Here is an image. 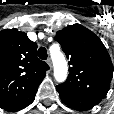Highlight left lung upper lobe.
<instances>
[{
	"instance_id": "5c2ea615",
	"label": "left lung upper lobe",
	"mask_w": 114,
	"mask_h": 114,
	"mask_svg": "<svg viewBox=\"0 0 114 114\" xmlns=\"http://www.w3.org/2000/svg\"><path fill=\"white\" fill-rule=\"evenodd\" d=\"M70 59L69 75L59 86L103 99L113 76V65L102 41L80 24L69 25L55 36Z\"/></svg>"
}]
</instances>
